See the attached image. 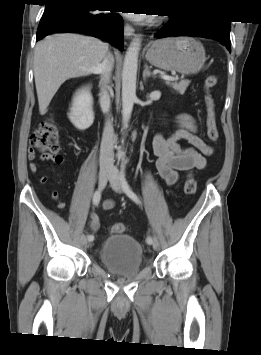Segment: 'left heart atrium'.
<instances>
[{
	"mask_svg": "<svg viewBox=\"0 0 261 355\" xmlns=\"http://www.w3.org/2000/svg\"><path fill=\"white\" fill-rule=\"evenodd\" d=\"M127 16L133 20H136V21H142L143 19L149 17L147 14H140V13L139 14L130 13V14H127Z\"/></svg>",
	"mask_w": 261,
	"mask_h": 355,
	"instance_id": "39dd6f15",
	"label": "left heart atrium"
}]
</instances>
